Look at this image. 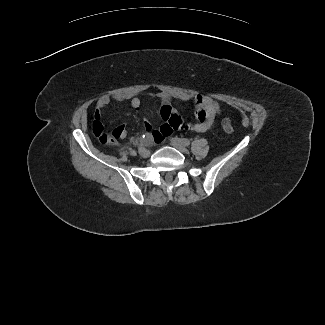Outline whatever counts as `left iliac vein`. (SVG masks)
I'll list each match as a JSON object with an SVG mask.
<instances>
[{
  "mask_svg": "<svg viewBox=\"0 0 325 325\" xmlns=\"http://www.w3.org/2000/svg\"><path fill=\"white\" fill-rule=\"evenodd\" d=\"M171 145L181 152H187V148L175 139H171Z\"/></svg>",
  "mask_w": 325,
  "mask_h": 325,
  "instance_id": "obj_1",
  "label": "left iliac vein"
}]
</instances>
